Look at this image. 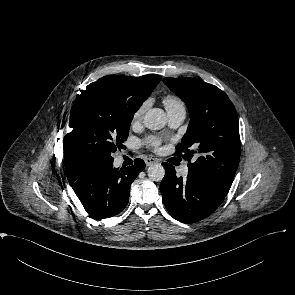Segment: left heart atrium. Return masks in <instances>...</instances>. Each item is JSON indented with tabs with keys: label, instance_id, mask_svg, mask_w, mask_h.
I'll list each match as a JSON object with an SVG mask.
<instances>
[{
	"label": "left heart atrium",
	"instance_id": "obj_1",
	"mask_svg": "<svg viewBox=\"0 0 295 295\" xmlns=\"http://www.w3.org/2000/svg\"><path fill=\"white\" fill-rule=\"evenodd\" d=\"M149 144H151L152 146H154L155 148L158 147L159 145V142L156 138L154 137H149L147 140H146Z\"/></svg>",
	"mask_w": 295,
	"mask_h": 295
}]
</instances>
